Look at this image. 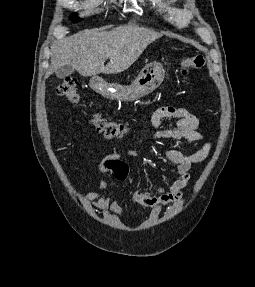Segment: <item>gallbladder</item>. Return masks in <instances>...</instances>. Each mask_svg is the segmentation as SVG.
<instances>
[{
    "label": "gallbladder",
    "mask_w": 255,
    "mask_h": 287,
    "mask_svg": "<svg viewBox=\"0 0 255 287\" xmlns=\"http://www.w3.org/2000/svg\"><path fill=\"white\" fill-rule=\"evenodd\" d=\"M75 72V68L73 66H61V68H58L56 70L55 74L57 78H60V80H64V78H68L70 74H73Z\"/></svg>",
    "instance_id": "bac80fb5"
}]
</instances>
